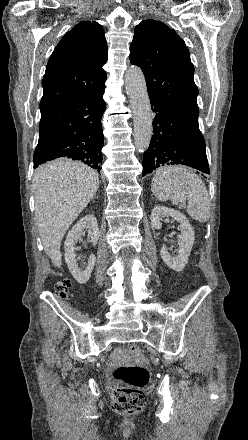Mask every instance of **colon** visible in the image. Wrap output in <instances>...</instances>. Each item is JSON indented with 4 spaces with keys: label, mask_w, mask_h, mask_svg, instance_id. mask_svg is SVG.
Returning a JSON list of instances; mask_svg holds the SVG:
<instances>
[{
    "label": "colon",
    "mask_w": 248,
    "mask_h": 440,
    "mask_svg": "<svg viewBox=\"0 0 248 440\" xmlns=\"http://www.w3.org/2000/svg\"><path fill=\"white\" fill-rule=\"evenodd\" d=\"M71 281L64 279L56 284V291L61 298H66ZM130 355H138L140 347L130 345L126 348ZM117 385L112 392V408L120 415H134L145 406L146 397L143 388L149 381V371L142 365L131 364L119 366L114 370Z\"/></svg>",
    "instance_id": "obj_1"
}]
</instances>
